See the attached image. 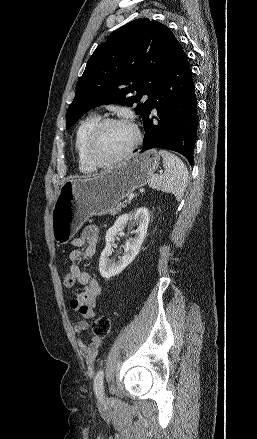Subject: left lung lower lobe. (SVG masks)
<instances>
[{
  "instance_id": "left-lung-lower-lobe-1",
  "label": "left lung lower lobe",
  "mask_w": 257,
  "mask_h": 439,
  "mask_svg": "<svg viewBox=\"0 0 257 439\" xmlns=\"http://www.w3.org/2000/svg\"><path fill=\"white\" fill-rule=\"evenodd\" d=\"M143 125L142 151L172 150L193 164L198 129L197 99L191 69L179 42L169 67L153 90L152 104Z\"/></svg>"
}]
</instances>
